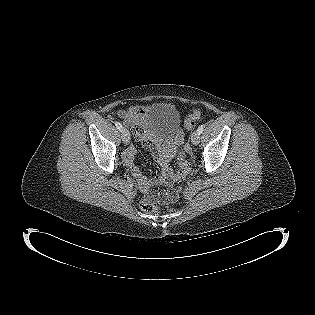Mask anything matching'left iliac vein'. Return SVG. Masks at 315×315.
Listing matches in <instances>:
<instances>
[{
  "label": "left iliac vein",
  "mask_w": 315,
  "mask_h": 315,
  "mask_svg": "<svg viewBox=\"0 0 315 315\" xmlns=\"http://www.w3.org/2000/svg\"><path fill=\"white\" fill-rule=\"evenodd\" d=\"M191 142L194 145H198V143L200 142V134L197 131L192 133V135H191Z\"/></svg>",
  "instance_id": "4c4485c4"
}]
</instances>
